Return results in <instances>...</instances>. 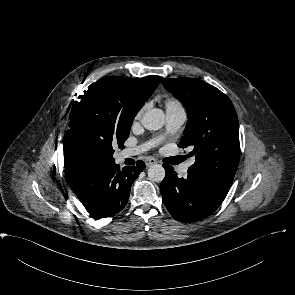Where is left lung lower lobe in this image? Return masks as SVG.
<instances>
[{"label": "left lung lower lobe", "instance_id": "obj_1", "mask_svg": "<svg viewBox=\"0 0 295 295\" xmlns=\"http://www.w3.org/2000/svg\"><path fill=\"white\" fill-rule=\"evenodd\" d=\"M166 175L160 185L162 201L172 217L196 222L212 214L225 199L202 180L188 174L178 178L174 168L163 164Z\"/></svg>", "mask_w": 295, "mask_h": 295}]
</instances>
